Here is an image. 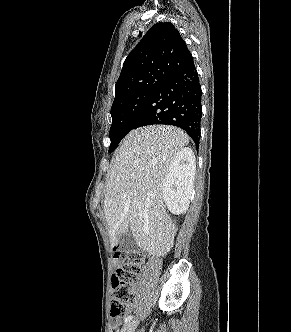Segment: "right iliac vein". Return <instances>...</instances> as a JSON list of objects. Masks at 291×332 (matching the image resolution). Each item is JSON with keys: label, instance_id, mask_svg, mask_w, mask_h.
<instances>
[{"label": "right iliac vein", "instance_id": "obj_1", "mask_svg": "<svg viewBox=\"0 0 291 332\" xmlns=\"http://www.w3.org/2000/svg\"><path fill=\"white\" fill-rule=\"evenodd\" d=\"M136 327H137V321L129 322L123 326L121 332H134Z\"/></svg>", "mask_w": 291, "mask_h": 332}]
</instances>
